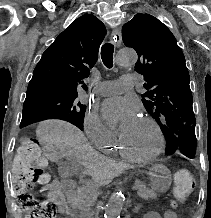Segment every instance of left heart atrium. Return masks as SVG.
Returning a JSON list of instances; mask_svg holds the SVG:
<instances>
[{
  "instance_id": "left-heart-atrium-1",
  "label": "left heart atrium",
  "mask_w": 211,
  "mask_h": 218,
  "mask_svg": "<svg viewBox=\"0 0 211 218\" xmlns=\"http://www.w3.org/2000/svg\"><path fill=\"white\" fill-rule=\"evenodd\" d=\"M102 112L107 120L117 124L120 136L129 132L141 119L140 106L133 97H115L104 102Z\"/></svg>"
}]
</instances>
